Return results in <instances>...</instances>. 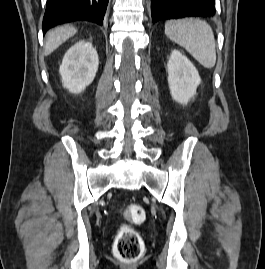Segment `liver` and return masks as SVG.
<instances>
[{
  "instance_id": "6515ba94",
  "label": "liver",
  "mask_w": 265,
  "mask_h": 269,
  "mask_svg": "<svg viewBox=\"0 0 265 269\" xmlns=\"http://www.w3.org/2000/svg\"><path fill=\"white\" fill-rule=\"evenodd\" d=\"M77 29L71 25H64L58 27L47 34V40L45 43L44 54L50 55L55 51L62 43L67 39L75 35Z\"/></svg>"
}]
</instances>
